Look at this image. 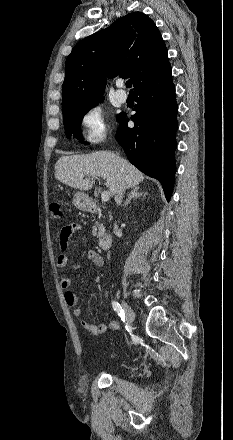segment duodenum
Masks as SVG:
<instances>
[{
    "label": "duodenum",
    "instance_id": "duodenum-1",
    "mask_svg": "<svg viewBox=\"0 0 233 440\" xmlns=\"http://www.w3.org/2000/svg\"><path fill=\"white\" fill-rule=\"evenodd\" d=\"M97 211H98L97 208L93 209V212H97ZM111 243H112V239H111V237H110L109 235L104 234V233H101V234L99 235V246H100L102 249H108V248H110Z\"/></svg>",
    "mask_w": 233,
    "mask_h": 440
}]
</instances>
